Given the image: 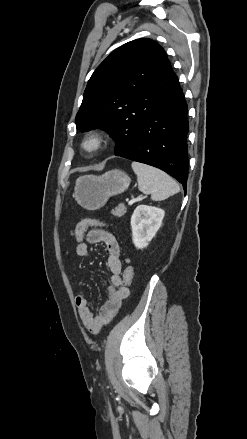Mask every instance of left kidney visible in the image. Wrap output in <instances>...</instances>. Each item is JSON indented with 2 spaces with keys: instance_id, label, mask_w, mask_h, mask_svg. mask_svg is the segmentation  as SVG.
I'll return each instance as SVG.
<instances>
[{
  "instance_id": "obj_1",
  "label": "left kidney",
  "mask_w": 247,
  "mask_h": 439,
  "mask_svg": "<svg viewBox=\"0 0 247 439\" xmlns=\"http://www.w3.org/2000/svg\"><path fill=\"white\" fill-rule=\"evenodd\" d=\"M165 212L161 208L139 205L131 217L132 241L136 248L148 246L159 230Z\"/></svg>"
}]
</instances>
